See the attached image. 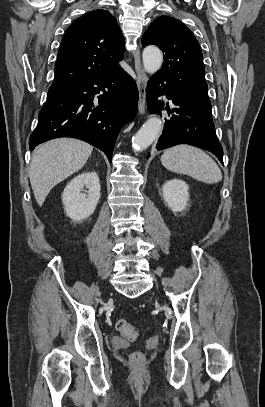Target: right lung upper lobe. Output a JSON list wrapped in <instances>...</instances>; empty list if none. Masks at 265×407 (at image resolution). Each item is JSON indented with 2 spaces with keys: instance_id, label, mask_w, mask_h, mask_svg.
I'll use <instances>...</instances> for the list:
<instances>
[{
  "instance_id": "obj_1",
  "label": "right lung upper lobe",
  "mask_w": 265,
  "mask_h": 407,
  "mask_svg": "<svg viewBox=\"0 0 265 407\" xmlns=\"http://www.w3.org/2000/svg\"><path fill=\"white\" fill-rule=\"evenodd\" d=\"M124 38L116 19L105 10L84 14L68 27L61 41L52 86H74L110 72L123 59Z\"/></svg>"
}]
</instances>
